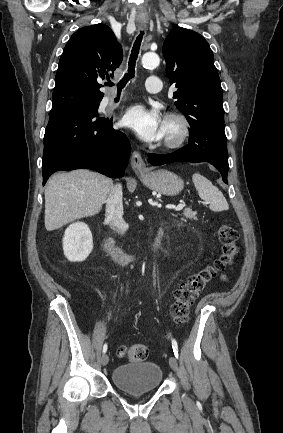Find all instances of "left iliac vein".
Wrapping results in <instances>:
<instances>
[{
  "instance_id": "4c4485c4",
  "label": "left iliac vein",
  "mask_w": 283,
  "mask_h": 433,
  "mask_svg": "<svg viewBox=\"0 0 283 433\" xmlns=\"http://www.w3.org/2000/svg\"><path fill=\"white\" fill-rule=\"evenodd\" d=\"M169 365L174 371L178 372V364H177V360L174 356H171L169 358ZM187 401L189 402V400H187Z\"/></svg>"
}]
</instances>
